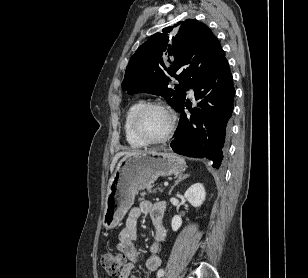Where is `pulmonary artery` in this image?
<instances>
[{"instance_id": "e3ab8cb5", "label": "pulmonary artery", "mask_w": 308, "mask_h": 278, "mask_svg": "<svg viewBox=\"0 0 308 278\" xmlns=\"http://www.w3.org/2000/svg\"><path fill=\"white\" fill-rule=\"evenodd\" d=\"M189 94H190V96L194 95V90L192 88L189 90Z\"/></svg>"}]
</instances>
